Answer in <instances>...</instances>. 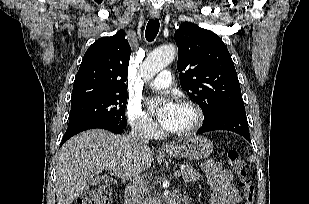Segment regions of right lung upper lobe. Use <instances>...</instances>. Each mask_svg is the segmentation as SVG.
<instances>
[{
	"instance_id": "1",
	"label": "right lung upper lobe",
	"mask_w": 309,
	"mask_h": 204,
	"mask_svg": "<svg viewBox=\"0 0 309 204\" xmlns=\"http://www.w3.org/2000/svg\"><path fill=\"white\" fill-rule=\"evenodd\" d=\"M130 54L131 48L123 30L93 43L86 51L76 75L71 103L127 92L125 82Z\"/></svg>"
}]
</instances>
